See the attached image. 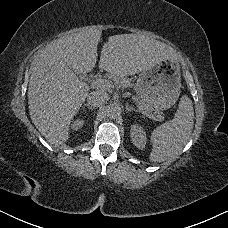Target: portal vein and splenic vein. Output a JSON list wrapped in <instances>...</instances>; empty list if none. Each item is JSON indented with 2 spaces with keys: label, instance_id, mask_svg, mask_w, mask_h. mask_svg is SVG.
<instances>
[{
  "label": "portal vein and splenic vein",
  "instance_id": "portal-vein-and-splenic-vein-1",
  "mask_svg": "<svg viewBox=\"0 0 228 228\" xmlns=\"http://www.w3.org/2000/svg\"><path fill=\"white\" fill-rule=\"evenodd\" d=\"M91 83L92 85L95 87V88H102V89H107L111 86L110 82L104 78H95V79H92L91 80ZM136 108H137V111L139 112L140 115H142V117L144 118H148L150 121L152 122H155V123H158L159 122V119L158 117L162 118L163 116L161 115H157V114H152L151 112L148 113L146 111H143L142 108L135 102L133 104ZM164 121L166 120L165 118L163 119Z\"/></svg>",
  "mask_w": 228,
  "mask_h": 228
}]
</instances>
